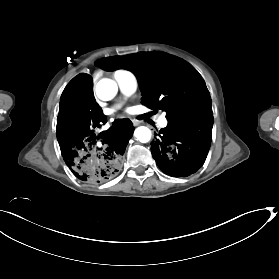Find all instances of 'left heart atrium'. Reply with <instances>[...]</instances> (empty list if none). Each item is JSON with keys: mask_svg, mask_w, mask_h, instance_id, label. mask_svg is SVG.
Returning a JSON list of instances; mask_svg holds the SVG:
<instances>
[{"mask_svg": "<svg viewBox=\"0 0 279 279\" xmlns=\"http://www.w3.org/2000/svg\"><path fill=\"white\" fill-rule=\"evenodd\" d=\"M125 112H126L127 114H131V113H133V109H132L131 107H128V108L125 110Z\"/></svg>", "mask_w": 279, "mask_h": 279, "instance_id": "1", "label": "left heart atrium"}]
</instances>
